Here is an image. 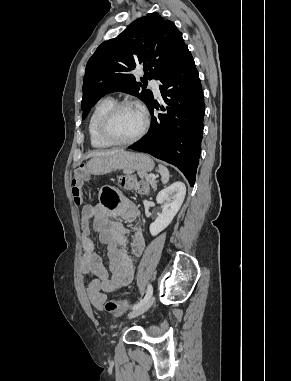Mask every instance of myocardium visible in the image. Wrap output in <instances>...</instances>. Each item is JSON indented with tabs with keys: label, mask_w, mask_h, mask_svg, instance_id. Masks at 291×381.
I'll list each match as a JSON object with an SVG mask.
<instances>
[{
	"label": "myocardium",
	"mask_w": 291,
	"mask_h": 381,
	"mask_svg": "<svg viewBox=\"0 0 291 381\" xmlns=\"http://www.w3.org/2000/svg\"><path fill=\"white\" fill-rule=\"evenodd\" d=\"M128 107L137 108L141 112L143 116V124L140 131L134 137L127 140H118L111 135L109 131V124L112 118L115 116V114L118 111ZM148 127H149V118L146 111L140 105L132 101H121V102L115 103L110 109H108L103 114L98 124V130H99L100 136L106 142H108L109 144L113 146H126V145H131L139 141L146 134Z\"/></svg>",
	"instance_id": "myocardium-1"
}]
</instances>
